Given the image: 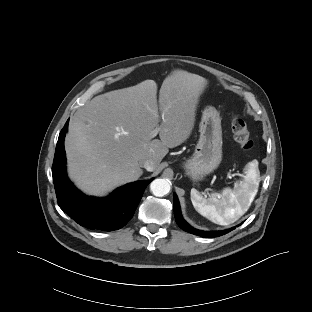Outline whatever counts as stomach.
Segmentation results:
<instances>
[{"instance_id": "stomach-1", "label": "stomach", "mask_w": 312, "mask_h": 312, "mask_svg": "<svg viewBox=\"0 0 312 312\" xmlns=\"http://www.w3.org/2000/svg\"><path fill=\"white\" fill-rule=\"evenodd\" d=\"M199 132L194 153L182 164L186 174L194 181L212 173L222 160L221 118L214 107L207 106L203 110Z\"/></svg>"}]
</instances>
